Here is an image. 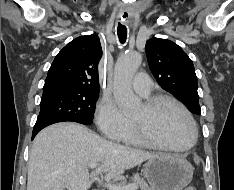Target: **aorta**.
Wrapping results in <instances>:
<instances>
[{
  "instance_id": "762f6f07",
  "label": "aorta",
  "mask_w": 234,
  "mask_h": 190,
  "mask_svg": "<svg viewBox=\"0 0 234 190\" xmlns=\"http://www.w3.org/2000/svg\"><path fill=\"white\" fill-rule=\"evenodd\" d=\"M141 64V55L138 52L122 54L114 70V97L125 114H131L137 109L140 99L133 93L131 82Z\"/></svg>"
}]
</instances>
